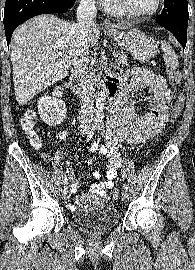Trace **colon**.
I'll use <instances>...</instances> for the list:
<instances>
[{"instance_id": "1", "label": "colon", "mask_w": 195, "mask_h": 270, "mask_svg": "<svg viewBox=\"0 0 195 270\" xmlns=\"http://www.w3.org/2000/svg\"><path fill=\"white\" fill-rule=\"evenodd\" d=\"M168 77H169V83L174 89H178L180 83H181V74L177 70H169L168 71ZM183 109V96L181 93L178 94L172 112L170 116V122L174 123L176 122L182 112ZM22 127L28 137L30 138L31 142L34 145L39 144V138L36 135L35 131V124H34V115L33 113H28L23 119H22ZM120 196V191L118 189L114 190L113 197L115 199H118Z\"/></svg>"}]
</instances>
